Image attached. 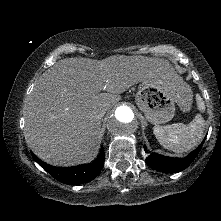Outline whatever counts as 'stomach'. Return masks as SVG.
<instances>
[{"label":"stomach","mask_w":221,"mask_h":221,"mask_svg":"<svg viewBox=\"0 0 221 221\" xmlns=\"http://www.w3.org/2000/svg\"><path fill=\"white\" fill-rule=\"evenodd\" d=\"M187 86L175 74L167 81L152 79L140 85L135 101L150 123L164 124L174 117L175 105L183 111L190 109L192 100Z\"/></svg>","instance_id":"obj_1"}]
</instances>
